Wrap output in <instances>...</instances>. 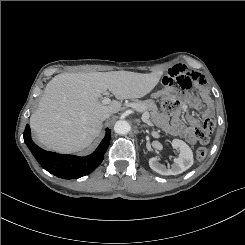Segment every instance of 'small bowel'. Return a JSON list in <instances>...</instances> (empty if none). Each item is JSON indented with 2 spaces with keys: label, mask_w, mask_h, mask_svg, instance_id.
<instances>
[{
  "label": "small bowel",
  "mask_w": 245,
  "mask_h": 245,
  "mask_svg": "<svg viewBox=\"0 0 245 245\" xmlns=\"http://www.w3.org/2000/svg\"><path fill=\"white\" fill-rule=\"evenodd\" d=\"M162 88H170L172 92L173 86L176 84L180 87L182 92L188 93L193 90V87L204 89L206 85L205 78L202 74L192 71L184 65H175L169 69L166 76L162 77L159 81ZM193 98H198L199 94L192 92L190 94ZM202 112L209 114V107L202 106ZM180 110L172 113L170 119L168 115L162 114L158 118L159 126L168 134L183 138L186 142L194 144L196 142V129L199 127L200 121L193 115H187L185 124L180 118Z\"/></svg>",
  "instance_id": "obj_1"
}]
</instances>
